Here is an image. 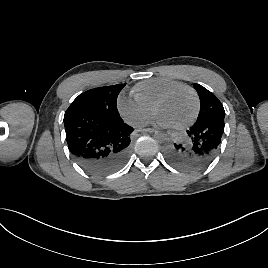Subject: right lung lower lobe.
Wrapping results in <instances>:
<instances>
[{
  "instance_id": "obj_1",
  "label": "right lung lower lobe",
  "mask_w": 268,
  "mask_h": 268,
  "mask_svg": "<svg viewBox=\"0 0 268 268\" xmlns=\"http://www.w3.org/2000/svg\"><path fill=\"white\" fill-rule=\"evenodd\" d=\"M64 126L71 155L90 174L108 175L127 161L134 129L119 115L80 111L64 118Z\"/></svg>"
}]
</instances>
